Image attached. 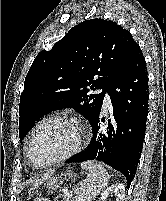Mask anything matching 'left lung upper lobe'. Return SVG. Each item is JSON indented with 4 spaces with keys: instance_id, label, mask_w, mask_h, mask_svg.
<instances>
[{
    "instance_id": "1",
    "label": "left lung upper lobe",
    "mask_w": 166,
    "mask_h": 201,
    "mask_svg": "<svg viewBox=\"0 0 166 201\" xmlns=\"http://www.w3.org/2000/svg\"><path fill=\"white\" fill-rule=\"evenodd\" d=\"M137 46L126 29L99 18L79 23L50 51H41L20 96V140L37 120L55 110L74 108L91 121ZM87 87L103 92L92 94Z\"/></svg>"
}]
</instances>
